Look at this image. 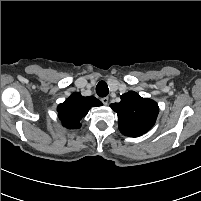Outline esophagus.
<instances>
[{
    "mask_svg": "<svg viewBox=\"0 0 201 201\" xmlns=\"http://www.w3.org/2000/svg\"><path fill=\"white\" fill-rule=\"evenodd\" d=\"M101 101H102V103H103L104 105H108L109 99H108V97H104V98L101 99Z\"/></svg>",
    "mask_w": 201,
    "mask_h": 201,
    "instance_id": "esophagus-1",
    "label": "esophagus"
}]
</instances>
